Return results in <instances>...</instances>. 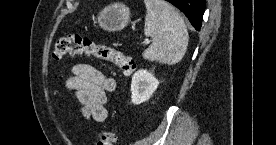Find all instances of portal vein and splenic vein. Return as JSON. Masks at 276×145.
I'll return each mask as SVG.
<instances>
[{"label":"portal vein and splenic vein","mask_w":276,"mask_h":145,"mask_svg":"<svg viewBox=\"0 0 276 145\" xmlns=\"http://www.w3.org/2000/svg\"><path fill=\"white\" fill-rule=\"evenodd\" d=\"M150 43V41L146 40L143 42L144 45H148Z\"/></svg>","instance_id":"1"}]
</instances>
